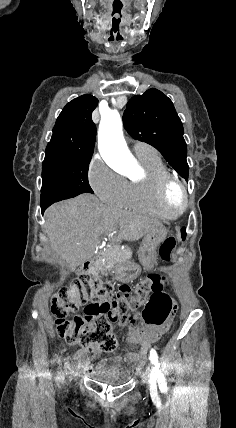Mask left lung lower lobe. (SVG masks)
Segmentation results:
<instances>
[{
	"label": "left lung lower lobe",
	"mask_w": 236,
	"mask_h": 428,
	"mask_svg": "<svg viewBox=\"0 0 236 428\" xmlns=\"http://www.w3.org/2000/svg\"><path fill=\"white\" fill-rule=\"evenodd\" d=\"M181 235H182V238H183V239H185V237H186L185 228H183V229L181 230Z\"/></svg>",
	"instance_id": "0a47b994"
}]
</instances>
